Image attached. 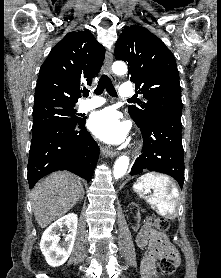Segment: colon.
<instances>
[{
  "mask_svg": "<svg viewBox=\"0 0 221 278\" xmlns=\"http://www.w3.org/2000/svg\"><path fill=\"white\" fill-rule=\"evenodd\" d=\"M153 225L156 230L165 232L169 229V222L163 217H156L154 219ZM177 267V261L169 256L161 257L159 261L160 271L165 275H171L174 273Z\"/></svg>",
  "mask_w": 221,
  "mask_h": 278,
  "instance_id": "5ec220e1",
  "label": "colon"
}]
</instances>
